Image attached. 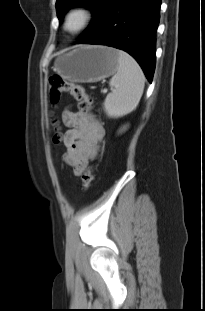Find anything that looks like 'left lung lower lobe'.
I'll list each match as a JSON object with an SVG mask.
<instances>
[{
  "mask_svg": "<svg viewBox=\"0 0 205 311\" xmlns=\"http://www.w3.org/2000/svg\"><path fill=\"white\" fill-rule=\"evenodd\" d=\"M161 0H114L104 19L78 43L108 45L128 52L151 82Z\"/></svg>",
  "mask_w": 205,
  "mask_h": 311,
  "instance_id": "0a47b994",
  "label": "left lung lower lobe"
}]
</instances>
